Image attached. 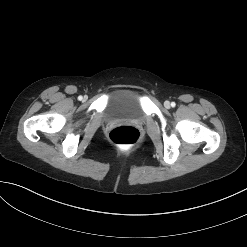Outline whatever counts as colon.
<instances>
[{
	"label": "colon",
	"mask_w": 247,
	"mask_h": 247,
	"mask_svg": "<svg viewBox=\"0 0 247 247\" xmlns=\"http://www.w3.org/2000/svg\"><path fill=\"white\" fill-rule=\"evenodd\" d=\"M140 132L132 126H119L109 133V140L118 146H130L140 140Z\"/></svg>",
	"instance_id": "colon-1"
}]
</instances>
